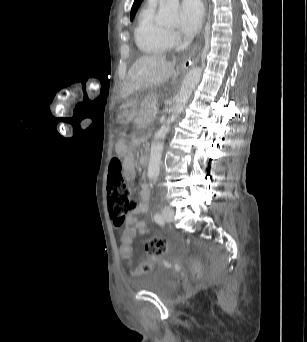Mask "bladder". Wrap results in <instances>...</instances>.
<instances>
[{
  "mask_svg": "<svg viewBox=\"0 0 307 342\" xmlns=\"http://www.w3.org/2000/svg\"><path fill=\"white\" fill-rule=\"evenodd\" d=\"M141 288L159 296H170L175 292L177 283L163 269L157 268L144 277Z\"/></svg>",
  "mask_w": 307,
  "mask_h": 342,
  "instance_id": "1",
  "label": "bladder"
}]
</instances>
